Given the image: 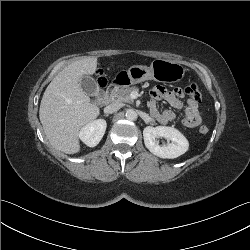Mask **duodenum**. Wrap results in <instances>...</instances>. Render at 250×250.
I'll use <instances>...</instances> for the list:
<instances>
[{
	"label": "duodenum",
	"mask_w": 250,
	"mask_h": 250,
	"mask_svg": "<svg viewBox=\"0 0 250 250\" xmlns=\"http://www.w3.org/2000/svg\"><path fill=\"white\" fill-rule=\"evenodd\" d=\"M116 86H117V83L115 82L111 83L107 87V89L101 94L99 101L103 104L109 103L111 101V96Z\"/></svg>",
	"instance_id": "1"
}]
</instances>
